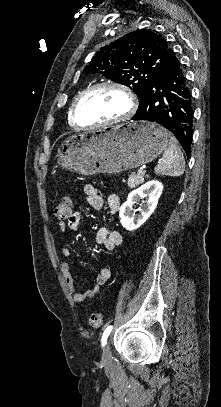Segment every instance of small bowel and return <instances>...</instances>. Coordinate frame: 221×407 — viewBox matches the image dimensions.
<instances>
[{
    "label": "small bowel",
    "mask_w": 221,
    "mask_h": 407,
    "mask_svg": "<svg viewBox=\"0 0 221 407\" xmlns=\"http://www.w3.org/2000/svg\"><path fill=\"white\" fill-rule=\"evenodd\" d=\"M84 194L88 204L96 210H100L104 206V199L102 198L99 189L93 184H85L83 187ZM107 205L109 208V216L112 219H116L120 207V198L117 194L113 193L107 197ZM80 214L74 213L70 219L65 222H59V230L62 234L67 230L77 231L80 224ZM97 244L103 246L105 249L111 250L117 247L122 242V236L120 232L115 228L103 227L96 235ZM63 261L60 263V271L64 278L65 284L69 288L73 299L76 303L83 302L86 298L95 297L100 291L101 286L105 285L111 277V269L108 266H103L96 278L95 284L87 291L81 292L76 287V282L71 274L69 257L70 251L68 248H64L62 251Z\"/></svg>",
    "instance_id": "1"
}]
</instances>
